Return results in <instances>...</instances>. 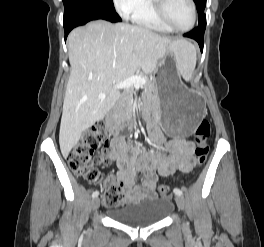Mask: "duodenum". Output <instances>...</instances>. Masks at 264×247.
Segmentation results:
<instances>
[{"instance_id":"410a0bca","label":"duodenum","mask_w":264,"mask_h":247,"mask_svg":"<svg viewBox=\"0 0 264 247\" xmlns=\"http://www.w3.org/2000/svg\"><path fill=\"white\" fill-rule=\"evenodd\" d=\"M136 120L137 115H134L125 122L121 123L115 118L113 110H109L104 117V122L107 129L111 134L116 136L122 133L126 128L133 126Z\"/></svg>"}]
</instances>
